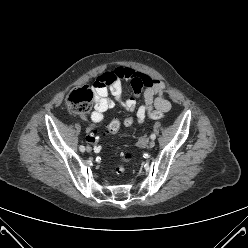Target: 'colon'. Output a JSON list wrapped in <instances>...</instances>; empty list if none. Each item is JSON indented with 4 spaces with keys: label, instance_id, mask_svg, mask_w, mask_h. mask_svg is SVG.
Wrapping results in <instances>:
<instances>
[{
    "label": "colon",
    "instance_id": "colon-1",
    "mask_svg": "<svg viewBox=\"0 0 248 248\" xmlns=\"http://www.w3.org/2000/svg\"><path fill=\"white\" fill-rule=\"evenodd\" d=\"M95 96V89L89 86H82L71 92L67 98L66 104L70 112L77 115L86 114L90 108L92 100ZM153 119H160L164 114L160 111H153L149 114ZM121 127L125 131H132L134 129V118L132 115L127 114L121 120ZM120 128V122L113 120L107 127L106 132L108 134H115ZM85 139L89 145H96L99 142V133L94 128L85 129ZM135 159L133 153L127 152L122 155L120 163L114 169V174L122 175L125 172V165L132 162Z\"/></svg>",
    "mask_w": 248,
    "mask_h": 248
}]
</instances>
